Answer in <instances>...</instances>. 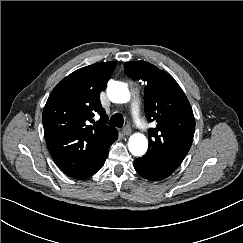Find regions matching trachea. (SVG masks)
Masks as SVG:
<instances>
[{"instance_id": "obj_1", "label": "trachea", "mask_w": 243, "mask_h": 243, "mask_svg": "<svg viewBox=\"0 0 243 243\" xmlns=\"http://www.w3.org/2000/svg\"><path fill=\"white\" fill-rule=\"evenodd\" d=\"M111 126L119 127L121 128L124 124V118L121 114H114L108 123Z\"/></svg>"}]
</instances>
